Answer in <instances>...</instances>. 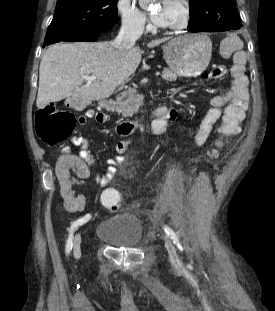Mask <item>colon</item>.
Returning a JSON list of instances; mask_svg holds the SVG:
<instances>
[{
	"label": "colon",
	"mask_w": 275,
	"mask_h": 311,
	"mask_svg": "<svg viewBox=\"0 0 275 311\" xmlns=\"http://www.w3.org/2000/svg\"><path fill=\"white\" fill-rule=\"evenodd\" d=\"M226 73L223 67L216 68L214 76L221 77ZM71 103H79L73 99ZM86 122L84 115L76 117L69 110H59L53 105H48L36 114V133L43 142L55 145L67 140L74 131L77 124ZM222 130H241L240 118H220ZM224 144L221 138L219 146ZM102 203L106 208H117L120 202L118 190H101Z\"/></svg>",
	"instance_id": "colon-1"
}]
</instances>
